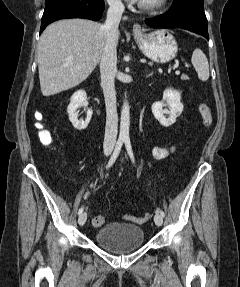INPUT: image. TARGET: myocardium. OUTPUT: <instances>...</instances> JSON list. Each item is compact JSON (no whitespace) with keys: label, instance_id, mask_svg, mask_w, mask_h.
<instances>
[{"label":"myocardium","instance_id":"f54148a6","mask_svg":"<svg viewBox=\"0 0 240 287\" xmlns=\"http://www.w3.org/2000/svg\"><path fill=\"white\" fill-rule=\"evenodd\" d=\"M166 0L141 1L139 7L147 12H156L164 7Z\"/></svg>","mask_w":240,"mask_h":287}]
</instances>
